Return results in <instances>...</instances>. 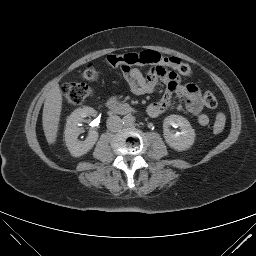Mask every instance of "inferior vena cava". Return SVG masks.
<instances>
[{
  "label": "inferior vena cava",
  "mask_w": 256,
  "mask_h": 256,
  "mask_svg": "<svg viewBox=\"0 0 256 256\" xmlns=\"http://www.w3.org/2000/svg\"><path fill=\"white\" fill-rule=\"evenodd\" d=\"M123 126V120L117 116L113 115L107 119V128L112 132H117Z\"/></svg>",
  "instance_id": "1"
}]
</instances>
